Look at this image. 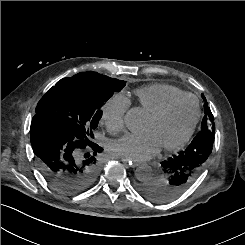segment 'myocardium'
<instances>
[{"instance_id": "obj_1", "label": "myocardium", "mask_w": 245, "mask_h": 245, "mask_svg": "<svg viewBox=\"0 0 245 245\" xmlns=\"http://www.w3.org/2000/svg\"><path fill=\"white\" fill-rule=\"evenodd\" d=\"M193 99L195 101L196 104V112H195V116L194 119L191 123V125L189 126L188 130L186 131V133L183 135V137L176 143L172 144V145H168V146H163L162 150L163 151H175L178 150L180 148H182L191 138L197 124L200 118V114H201V108H200V102L199 99L193 95V94H183L174 98L169 99L168 101H166L164 104H162L159 108H157L155 111L151 112L150 114L147 115V117L151 120H156L161 118L174 104H176L177 102L184 100V99Z\"/></svg>"}]
</instances>
